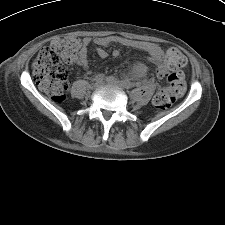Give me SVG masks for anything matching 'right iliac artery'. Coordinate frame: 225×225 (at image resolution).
I'll list each match as a JSON object with an SVG mask.
<instances>
[{
  "instance_id": "82829eb1",
  "label": "right iliac artery",
  "mask_w": 225,
  "mask_h": 225,
  "mask_svg": "<svg viewBox=\"0 0 225 225\" xmlns=\"http://www.w3.org/2000/svg\"><path fill=\"white\" fill-rule=\"evenodd\" d=\"M104 74H98L96 77H95V81H103L104 80Z\"/></svg>"
}]
</instances>
